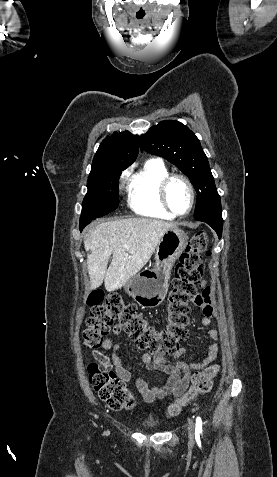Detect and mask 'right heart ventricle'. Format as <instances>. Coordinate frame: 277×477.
<instances>
[{
    "label": "right heart ventricle",
    "mask_w": 277,
    "mask_h": 477,
    "mask_svg": "<svg viewBox=\"0 0 277 477\" xmlns=\"http://www.w3.org/2000/svg\"><path fill=\"white\" fill-rule=\"evenodd\" d=\"M169 174L159 160H149L130 178L128 184V204L136 214L164 220L175 217L168 213L159 198V185Z\"/></svg>",
    "instance_id": "e07e8e85"
}]
</instances>
